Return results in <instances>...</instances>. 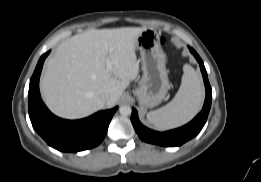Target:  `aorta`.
Listing matches in <instances>:
<instances>
[{
	"mask_svg": "<svg viewBox=\"0 0 261 182\" xmlns=\"http://www.w3.org/2000/svg\"><path fill=\"white\" fill-rule=\"evenodd\" d=\"M119 112L123 116H129L132 113V109L129 105H123L119 108Z\"/></svg>",
	"mask_w": 261,
	"mask_h": 182,
	"instance_id": "aorta-1",
	"label": "aorta"
}]
</instances>
